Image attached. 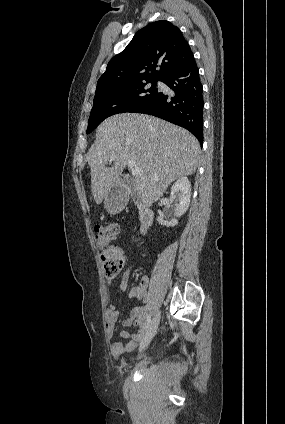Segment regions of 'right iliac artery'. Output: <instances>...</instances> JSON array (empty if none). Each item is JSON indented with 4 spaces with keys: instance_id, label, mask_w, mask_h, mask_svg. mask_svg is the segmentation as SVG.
<instances>
[{
    "instance_id": "82829eb1",
    "label": "right iliac artery",
    "mask_w": 285,
    "mask_h": 424,
    "mask_svg": "<svg viewBox=\"0 0 285 424\" xmlns=\"http://www.w3.org/2000/svg\"><path fill=\"white\" fill-rule=\"evenodd\" d=\"M150 323H151V317L148 316L146 320L145 330L149 327Z\"/></svg>"
}]
</instances>
